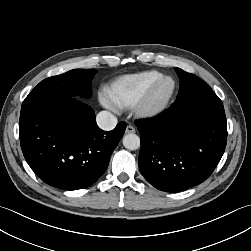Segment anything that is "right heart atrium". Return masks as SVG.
Instances as JSON below:
<instances>
[{
  "label": "right heart atrium",
  "mask_w": 251,
  "mask_h": 251,
  "mask_svg": "<svg viewBox=\"0 0 251 251\" xmlns=\"http://www.w3.org/2000/svg\"><path fill=\"white\" fill-rule=\"evenodd\" d=\"M100 100H101V102H102L105 106H112V105L110 104V102L108 101V99H107L105 93H103V94L100 95Z\"/></svg>",
  "instance_id": "d8ad5b80"
}]
</instances>
